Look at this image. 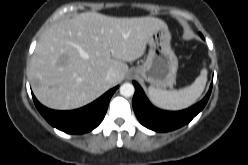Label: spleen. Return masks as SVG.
I'll return each mask as SVG.
<instances>
[{
    "label": "spleen",
    "instance_id": "obj_1",
    "mask_svg": "<svg viewBox=\"0 0 248 165\" xmlns=\"http://www.w3.org/2000/svg\"><path fill=\"white\" fill-rule=\"evenodd\" d=\"M207 82V69L203 68L200 75L188 87L180 90L166 91L150 86L149 97L153 104L167 110H181L191 106L204 91Z\"/></svg>",
    "mask_w": 248,
    "mask_h": 165
}]
</instances>
